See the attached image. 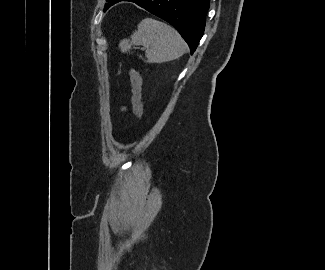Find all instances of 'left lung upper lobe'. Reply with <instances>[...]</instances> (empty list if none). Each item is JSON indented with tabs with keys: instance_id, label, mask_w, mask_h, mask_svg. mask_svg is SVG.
<instances>
[{
	"instance_id": "obj_1",
	"label": "left lung upper lobe",
	"mask_w": 325,
	"mask_h": 270,
	"mask_svg": "<svg viewBox=\"0 0 325 270\" xmlns=\"http://www.w3.org/2000/svg\"><path fill=\"white\" fill-rule=\"evenodd\" d=\"M109 3H112V4H114V3H117L119 0H107ZM108 7H106L105 8V10L107 9Z\"/></svg>"
}]
</instances>
